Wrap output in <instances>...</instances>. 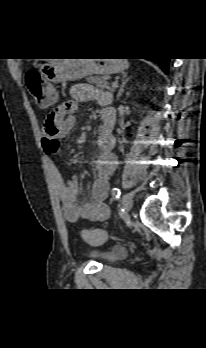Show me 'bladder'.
<instances>
[{"mask_svg":"<svg viewBox=\"0 0 206 348\" xmlns=\"http://www.w3.org/2000/svg\"><path fill=\"white\" fill-rule=\"evenodd\" d=\"M88 254L99 257L102 262L113 263L124 259L127 256V250L123 247H113L104 252H99L96 249H90Z\"/></svg>","mask_w":206,"mask_h":348,"instance_id":"1","label":"bladder"}]
</instances>
